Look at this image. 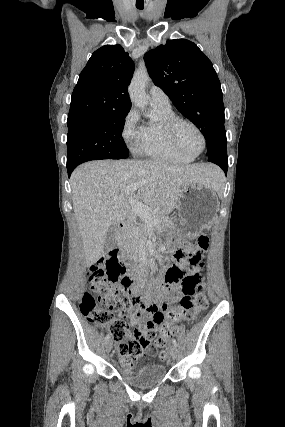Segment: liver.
Wrapping results in <instances>:
<instances>
[{
	"label": "liver",
	"instance_id": "1",
	"mask_svg": "<svg viewBox=\"0 0 285 427\" xmlns=\"http://www.w3.org/2000/svg\"><path fill=\"white\" fill-rule=\"evenodd\" d=\"M221 171L212 164L174 165L157 161L101 160L78 166L70 184L85 263L104 255L108 229L128 217L131 194L164 214L172 212L185 186L204 183L216 191ZM135 184L139 188L133 190Z\"/></svg>",
	"mask_w": 285,
	"mask_h": 427
}]
</instances>
